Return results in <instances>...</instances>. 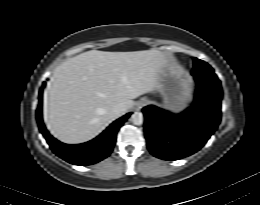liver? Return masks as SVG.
<instances>
[{
	"mask_svg": "<svg viewBox=\"0 0 260 205\" xmlns=\"http://www.w3.org/2000/svg\"><path fill=\"white\" fill-rule=\"evenodd\" d=\"M168 59L156 49L91 50L62 63L44 94V119L51 133L69 144L93 139L116 119L111 113L115 105L129 110L133 99L158 91L157 75Z\"/></svg>",
	"mask_w": 260,
	"mask_h": 205,
	"instance_id": "6515ba94",
	"label": "liver"
}]
</instances>
